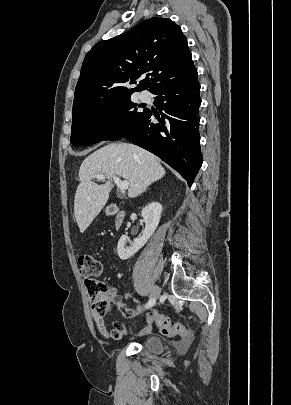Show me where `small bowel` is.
Listing matches in <instances>:
<instances>
[{"instance_id":"1","label":"small bowel","mask_w":291,"mask_h":405,"mask_svg":"<svg viewBox=\"0 0 291 405\" xmlns=\"http://www.w3.org/2000/svg\"><path fill=\"white\" fill-rule=\"evenodd\" d=\"M108 300L112 303L114 308L118 310L124 317L126 318H133L139 315L142 312L141 307H137L136 309H132L126 306V304L122 301L121 296L118 294V291L115 287H111L107 294ZM94 321L98 328V331L102 336L107 339L119 340L123 338L125 335V327L120 322H114L112 329H108L104 318L102 315H98L92 312ZM154 323L147 315L146 317V324L145 326L139 331L138 336H143L149 334L153 329Z\"/></svg>"}]
</instances>
